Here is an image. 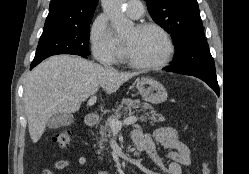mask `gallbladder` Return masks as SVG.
Wrapping results in <instances>:
<instances>
[{"label": "gallbladder", "mask_w": 249, "mask_h": 174, "mask_svg": "<svg viewBox=\"0 0 249 174\" xmlns=\"http://www.w3.org/2000/svg\"><path fill=\"white\" fill-rule=\"evenodd\" d=\"M74 118L71 114L67 113H57L54 114L47 122V126L50 129L60 128L62 126H68L72 124Z\"/></svg>", "instance_id": "1"}]
</instances>
